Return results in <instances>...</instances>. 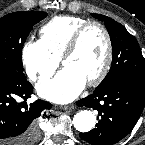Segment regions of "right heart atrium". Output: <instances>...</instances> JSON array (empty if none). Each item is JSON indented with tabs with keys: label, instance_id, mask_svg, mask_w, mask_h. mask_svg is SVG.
I'll return each mask as SVG.
<instances>
[{
	"label": "right heart atrium",
	"instance_id": "obj_1",
	"mask_svg": "<svg viewBox=\"0 0 145 145\" xmlns=\"http://www.w3.org/2000/svg\"><path fill=\"white\" fill-rule=\"evenodd\" d=\"M21 58L25 72L33 82L52 76L59 65V59L51 56L39 40L27 41L22 48Z\"/></svg>",
	"mask_w": 145,
	"mask_h": 145
}]
</instances>
